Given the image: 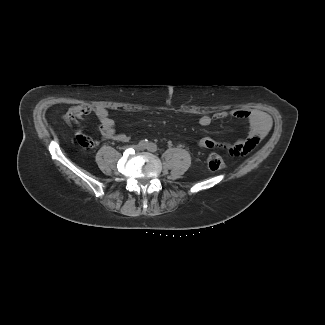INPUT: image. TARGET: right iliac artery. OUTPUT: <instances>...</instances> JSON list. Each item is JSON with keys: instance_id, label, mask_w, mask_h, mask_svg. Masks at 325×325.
Returning <instances> with one entry per match:
<instances>
[{"instance_id": "obj_1", "label": "right iliac artery", "mask_w": 325, "mask_h": 325, "mask_svg": "<svg viewBox=\"0 0 325 325\" xmlns=\"http://www.w3.org/2000/svg\"><path fill=\"white\" fill-rule=\"evenodd\" d=\"M138 145L141 149H145L148 146V140H141Z\"/></svg>"}]
</instances>
